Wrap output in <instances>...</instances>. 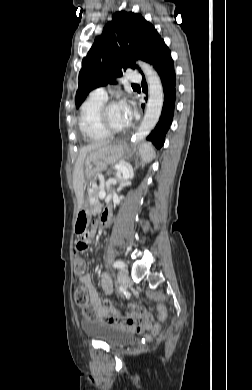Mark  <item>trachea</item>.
<instances>
[{
	"label": "trachea",
	"mask_w": 252,
	"mask_h": 390,
	"mask_svg": "<svg viewBox=\"0 0 252 390\" xmlns=\"http://www.w3.org/2000/svg\"><path fill=\"white\" fill-rule=\"evenodd\" d=\"M132 86H138L137 84H132Z\"/></svg>",
	"instance_id": "obj_1"
}]
</instances>
